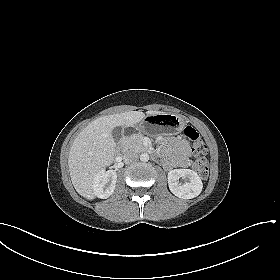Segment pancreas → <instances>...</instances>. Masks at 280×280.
<instances>
[{
	"mask_svg": "<svg viewBox=\"0 0 280 280\" xmlns=\"http://www.w3.org/2000/svg\"><path fill=\"white\" fill-rule=\"evenodd\" d=\"M143 139V135H135L127 138L124 142V148L132 152H143L146 150V147L143 145Z\"/></svg>",
	"mask_w": 280,
	"mask_h": 280,
	"instance_id": "1",
	"label": "pancreas"
}]
</instances>
